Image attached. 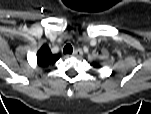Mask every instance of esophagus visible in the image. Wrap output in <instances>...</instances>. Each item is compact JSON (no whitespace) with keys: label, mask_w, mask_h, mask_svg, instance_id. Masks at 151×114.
<instances>
[{"label":"esophagus","mask_w":151,"mask_h":114,"mask_svg":"<svg viewBox=\"0 0 151 114\" xmlns=\"http://www.w3.org/2000/svg\"><path fill=\"white\" fill-rule=\"evenodd\" d=\"M72 55L74 57H81L83 55V51L81 49H76Z\"/></svg>","instance_id":"1"}]
</instances>
